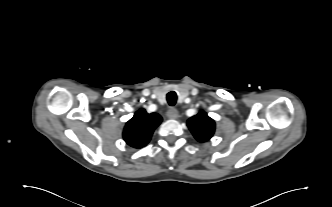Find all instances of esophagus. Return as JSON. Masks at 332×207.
Segmentation results:
<instances>
[{
	"instance_id": "esophagus-1",
	"label": "esophagus",
	"mask_w": 332,
	"mask_h": 207,
	"mask_svg": "<svg viewBox=\"0 0 332 207\" xmlns=\"http://www.w3.org/2000/svg\"><path fill=\"white\" fill-rule=\"evenodd\" d=\"M167 116L168 118L170 119H176L178 117V111L177 109L175 108H170L168 111H167Z\"/></svg>"
}]
</instances>
